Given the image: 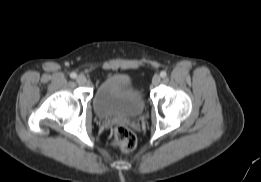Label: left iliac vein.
Wrapping results in <instances>:
<instances>
[{
    "mask_svg": "<svg viewBox=\"0 0 261 182\" xmlns=\"http://www.w3.org/2000/svg\"><path fill=\"white\" fill-rule=\"evenodd\" d=\"M161 81V77L158 74H155L152 78V84L157 86Z\"/></svg>",
    "mask_w": 261,
    "mask_h": 182,
    "instance_id": "left-iliac-vein-1",
    "label": "left iliac vein"
}]
</instances>
